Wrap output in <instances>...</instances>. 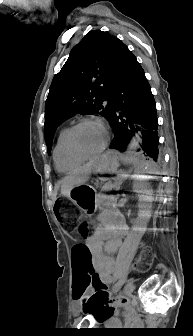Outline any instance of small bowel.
Listing matches in <instances>:
<instances>
[{
	"label": "small bowel",
	"mask_w": 193,
	"mask_h": 336,
	"mask_svg": "<svg viewBox=\"0 0 193 336\" xmlns=\"http://www.w3.org/2000/svg\"><path fill=\"white\" fill-rule=\"evenodd\" d=\"M127 227L117 211H103V224L86 241L93 270L106 284H111L118 276L123 264V258L114 260V254L122 246V237L126 234ZM94 288L89 284L85 294L91 295ZM116 320L111 318L109 324L114 325Z\"/></svg>",
	"instance_id": "c3829d8e"
}]
</instances>
